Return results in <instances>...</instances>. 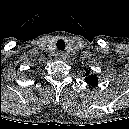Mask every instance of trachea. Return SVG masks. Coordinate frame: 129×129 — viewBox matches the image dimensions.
<instances>
[{
  "label": "trachea",
  "mask_w": 129,
  "mask_h": 129,
  "mask_svg": "<svg viewBox=\"0 0 129 129\" xmlns=\"http://www.w3.org/2000/svg\"><path fill=\"white\" fill-rule=\"evenodd\" d=\"M56 46L58 50L64 51L66 45H65L64 40H58L56 43Z\"/></svg>",
  "instance_id": "1"
}]
</instances>
